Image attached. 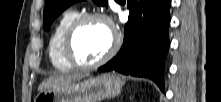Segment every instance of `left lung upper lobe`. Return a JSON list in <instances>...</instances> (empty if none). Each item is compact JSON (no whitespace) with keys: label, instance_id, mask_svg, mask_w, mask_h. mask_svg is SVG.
<instances>
[{"label":"left lung upper lobe","instance_id":"1","mask_svg":"<svg viewBox=\"0 0 221 102\" xmlns=\"http://www.w3.org/2000/svg\"><path fill=\"white\" fill-rule=\"evenodd\" d=\"M80 0H46V6L43 13V25L49 30L54 19L66 8ZM94 3L106 6L107 0H93Z\"/></svg>","mask_w":221,"mask_h":102}]
</instances>
